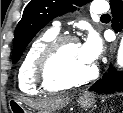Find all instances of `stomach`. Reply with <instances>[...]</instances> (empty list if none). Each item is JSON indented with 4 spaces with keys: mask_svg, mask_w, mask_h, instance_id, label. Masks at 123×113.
<instances>
[{
    "mask_svg": "<svg viewBox=\"0 0 123 113\" xmlns=\"http://www.w3.org/2000/svg\"><path fill=\"white\" fill-rule=\"evenodd\" d=\"M78 102L83 109H88L95 104V98L93 95L83 94L79 97ZM9 108L12 113H31L29 108L14 99L9 101Z\"/></svg>",
    "mask_w": 123,
    "mask_h": 113,
    "instance_id": "0dacf381",
    "label": "stomach"
}]
</instances>
